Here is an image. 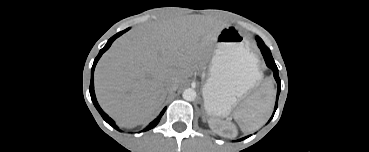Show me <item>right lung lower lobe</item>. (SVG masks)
<instances>
[{
    "instance_id": "1",
    "label": "right lung lower lobe",
    "mask_w": 369,
    "mask_h": 152,
    "mask_svg": "<svg viewBox=\"0 0 369 152\" xmlns=\"http://www.w3.org/2000/svg\"><path fill=\"white\" fill-rule=\"evenodd\" d=\"M130 28L120 32V33H117L115 36H113L112 38H110L107 42V44L105 45V47L103 49L100 50L98 56L95 58L94 60V63H93V66H92V70H91V83H90V95H91V99L96 107V109L99 111V113L101 114V116L103 117V119L109 124L111 125L112 127H114L115 129L118 130V127L115 125L114 121L107 115L103 112V110L100 108V106L98 105V102L96 100V97H95V93H94V83H93V73H94V68L96 66V63L98 62L99 58L102 56V54L111 46L112 42L117 38L119 37L120 35H122L124 32H126L127 30H129ZM166 108L163 109V111L161 112V114L153 121L149 124V126H147L144 131H147L153 127H155L160 119H161V116L164 114Z\"/></svg>"
}]
</instances>
